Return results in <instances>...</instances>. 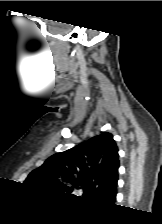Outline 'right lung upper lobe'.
I'll return each instance as SVG.
<instances>
[{
	"instance_id": "obj_1",
	"label": "right lung upper lobe",
	"mask_w": 162,
	"mask_h": 224,
	"mask_svg": "<svg viewBox=\"0 0 162 224\" xmlns=\"http://www.w3.org/2000/svg\"><path fill=\"white\" fill-rule=\"evenodd\" d=\"M118 158L113 136L105 132L52 155L24 183L62 194L81 189L87 199L112 202L117 193Z\"/></svg>"
}]
</instances>
